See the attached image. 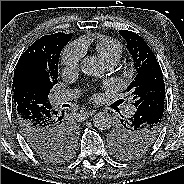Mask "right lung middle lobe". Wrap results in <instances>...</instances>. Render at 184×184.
<instances>
[{"label":"right lung middle lobe","instance_id":"1","mask_svg":"<svg viewBox=\"0 0 184 184\" xmlns=\"http://www.w3.org/2000/svg\"><path fill=\"white\" fill-rule=\"evenodd\" d=\"M60 51L55 55L56 80L50 83L44 79V76L34 74L31 77L20 82L18 88L14 92V103H35L43 104L48 102V95L53 85L57 83L58 62ZM76 142V129L70 127L64 131L62 141L52 146L51 149L40 151L37 154L44 160L49 162H59L68 158L74 151Z\"/></svg>","mask_w":184,"mask_h":184}]
</instances>
